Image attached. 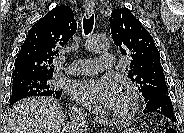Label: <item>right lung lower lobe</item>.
I'll return each mask as SVG.
<instances>
[{"label": "right lung lower lobe", "instance_id": "obj_1", "mask_svg": "<svg viewBox=\"0 0 184 133\" xmlns=\"http://www.w3.org/2000/svg\"><path fill=\"white\" fill-rule=\"evenodd\" d=\"M60 97H61V94L59 96H55V98H57V99H60Z\"/></svg>", "mask_w": 184, "mask_h": 133}]
</instances>
